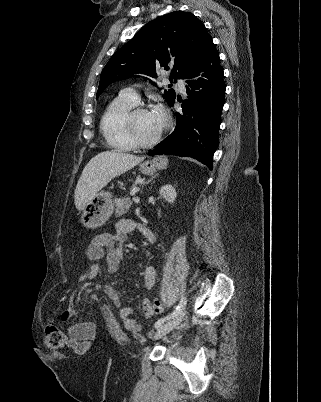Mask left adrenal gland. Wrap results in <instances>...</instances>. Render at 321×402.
<instances>
[{"label":"left adrenal gland","instance_id":"a2214340","mask_svg":"<svg viewBox=\"0 0 321 402\" xmlns=\"http://www.w3.org/2000/svg\"><path fill=\"white\" fill-rule=\"evenodd\" d=\"M158 176V174L152 176V178L150 180H148V182L146 184H148L149 182H151L154 178H156Z\"/></svg>","mask_w":321,"mask_h":402}]
</instances>
